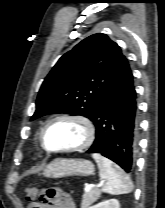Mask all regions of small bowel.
Here are the masks:
<instances>
[{
    "instance_id": "c3829d8e",
    "label": "small bowel",
    "mask_w": 165,
    "mask_h": 208,
    "mask_svg": "<svg viewBox=\"0 0 165 208\" xmlns=\"http://www.w3.org/2000/svg\"><path fill=\"white\" fill-rule=\"evenodd\" d=\"M27 208H76L72 197L60 188L42 191L40 200L32 202Z\"/></svg>"
}]
</instances>
